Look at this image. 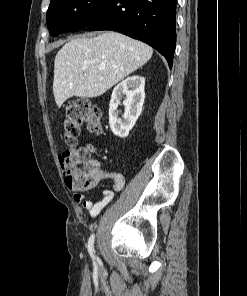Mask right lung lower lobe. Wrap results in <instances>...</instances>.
Returning <instances> with one entry per match:
<instances>
[{
    "label": "right lung lower lobe",
    "mask_w": 247,
    "mask_h": 296,
    "mask_svg": "<svg viewBox=\"0 0 247 296\" xmlns=\"http://www.w3.org/2000/svg\"><path fill=\"white\" fill-rule=\"evenodd\" d=\"M177 0H102L90 19L91 30H113L141 40L173 64Z\"/></svg>",
    "instance_id": "1"
}]
</instances>
